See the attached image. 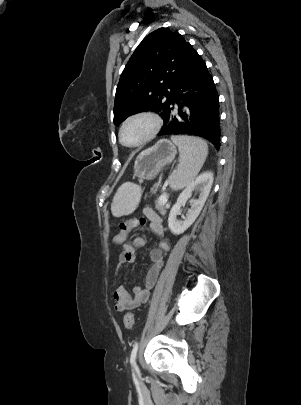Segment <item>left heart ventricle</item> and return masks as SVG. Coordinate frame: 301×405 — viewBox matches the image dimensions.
<instances>
[{
    "label": "left heart ventricle",
    "instance_id": "obj_1",
    "mask_svg": "<svg viewBox=\"0 0 301 405\" xmlns=\"http://www.w3.org/2000/svg\"><path fill=\"white\" fill-rule=\"evenodd\" d=\"M151 124L146 119H137L130 122L124 129L122 139L126 144L139 142L150 130Z\"/></svg>",
    "mask_w": 301,
    "mask_h": 405
}]
</instances>
